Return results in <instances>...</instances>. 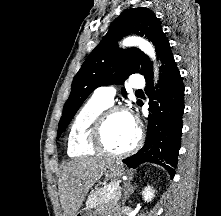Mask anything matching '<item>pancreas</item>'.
Masks as SVG:
<instances>
[{"label":"pancreas","instance_id":"1","mask_svg":"<svg viewBox=\"0 0 221 216\" xmlns=\"http://www.w3.org/2000/svg\"><path fill=\"white\" fill-rule=\"evenodd\" d=\"M121 197V188L118 183H113L111 189L108 191L107 187L97 189L88 199L87 205L89 207H105L112 203L119 201Z\"/></svg>","mask_w":221,"mask_h":216}]
</instances>
